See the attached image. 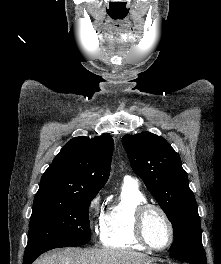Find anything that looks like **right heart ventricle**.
I'll return each instance as SVG.
<instances>
[{"instance_id":"right-heart-ventricle-1","label":"right heart ventricle","mask_w":221,"mask_h":264,"mask_svg":"<svg viewBox=\"0 0 221 264\" xmlns=\"http://www.w3.org/2000/svg\"><path fill=\"white\" fill-rule=\"evenodd\" d=\"M145 194L135 182L124 181L120 196L107 208L100 231L101 243L106 247L142 250L133 231L136 208L146 203Z\"/></svg>"}]
</instances>
